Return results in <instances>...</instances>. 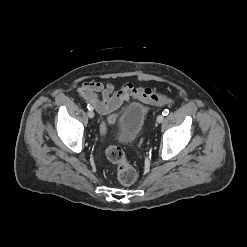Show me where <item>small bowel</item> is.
Masks as SVG:
<instances>
[{"instance_id":"obj_1","label":"small bowel","mask_w":247,"mask_h":247,"mask_svg":"<svg viewBox=\"0 0 247 247\" xmlns=\"http://www.w3.org/2000/svg\"><path fill=\"white\" fill-rule=\"evenodd\" d=\"M79 97L91 104L96 111L105 118L102 125V133L106 131V125L112 123L123 103L130 99L145 104L163 106L170 100L163 94L150 87H136L132 83H125L116 89L111 83L96 81L84 82L78 89Z\"/></svg>"}]
</instances>
